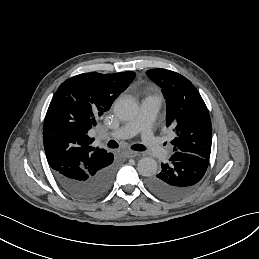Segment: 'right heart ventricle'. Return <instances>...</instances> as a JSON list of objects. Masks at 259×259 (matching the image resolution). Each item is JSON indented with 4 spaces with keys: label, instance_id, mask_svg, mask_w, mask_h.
<instances>
[{
    "label": "right heart ventricle",
    "instance_id": "1",
    "mask_svg": "<svg viewBox=\"0 0 259 259\" xmlns=\"http://www.w3.org/2000/svg\"><path fill=\"white\" fill-rule=\"evenodd\" d=\"M152 94H157V91H154V93H152Z\"/></svg>",
    "mask_w": 259,
    "mask_h": 259
}]
</instances>
